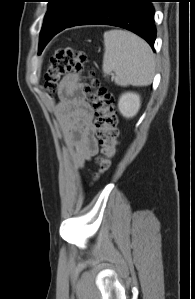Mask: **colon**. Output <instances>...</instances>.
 <instances>
[{
	"mask_svg": "<svg viewBox=\"0 0 195 299\" xmlns=\"http://www.w3.org/2000/svg\"><path fill=\"white\" fill-rule=\"evenodd\" d=\"M87 57L84 52L71 48L57 51L50 59L45 74V89L56 92L59 82L70 72L85 75V92L96 111V130L101 146V155L97 158L98 174L106 171L111 159L116 155L118 145V117L113 95L102 87L95 73L86 66Z\"/></svg>",
	"mask_w": 195,
	"mask_h": 299,
	"instance_id": "colon-1",
	"label": "colon"
}]
</instances>
